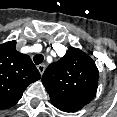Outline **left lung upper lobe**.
Masks as SVG:
<instances>
[{"mask_svg": "<svg viewBox=\"0 0 117 117\" xmlns=\"http://www.w3.org/2000/svg\"><path fill=\"white\" fill-rule=\"evenodd\" d=\"M98 77L94 61L80 49L70 47L47 67L42 83L56 108L76 112L95 97Z\"/></svg>", "mask_w": 117, "mask_h": 117, "instance_id": "5c2ea615", "label": "left lung upper lobe"}]
</instances>
